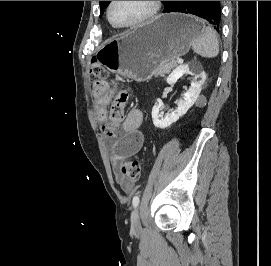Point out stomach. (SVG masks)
Wrapping results in <instances>:
<instances>
[{"instance_id": "stomach-1", "label": "stomach", "mask_w": 271, "mask_h": 266, "mask_svg": "<svg viewBox=\"0 0 271 266\" xmlns=\"http://www.w3.org/2000/svg\"><path fill=\"white\" fill-rule=\"evenodd\" d=\"M201 34L199 20L186 14H163L107 41L97 54L110 72L138 82L149 80L165 60L185 55Z\"/></svg>"}]
</instances>
